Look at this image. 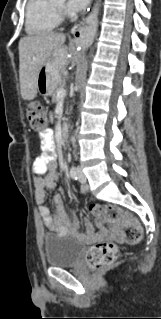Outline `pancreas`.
<instances>
[{
	"label": "pancreas",
	"mask_w": 161,
	"mask_h": 319,
	"mask_svg": "<svg viewBox=\"0 0 161 319\" xmlns=\"http://www.w3.org/2000/svg\"><path fill=\"white\" fill-rule=\"evenodd\" d=\"M63 86H64V83L61 81L60 84L56 87V89L52 93V101L53 102H56L58 100L57 92H58L59 89H62Z\"/></svg>",
	"instance_id": "obj_1"
}]
</instances>
